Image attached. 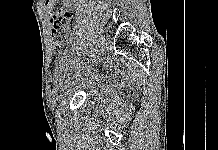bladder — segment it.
I'll return each instance as SVG.
<instances>
[{"label":"bladder","mask_w":218,"mask_h":150,"mask_svg":"<svg viewBox=\"0 0 218 150\" xmlns=\"http://www.w3.org/2000/svg\"><path fill=\"white\" fill-rule=\"evenodd\" d=\"M72 79H73L72 75L68 73H61V75H59L58 82L59 84H65L72 81Z\"/></svg>","instance_id":"bladder-1"}]
</instances>
